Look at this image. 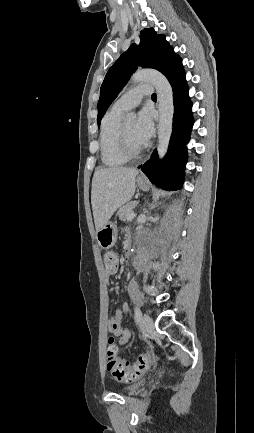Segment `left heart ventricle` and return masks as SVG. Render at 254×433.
I'll list each match as a JSON object with an SVG mask.
<instances>
[{
  "instance_id": "1",
  "label": "left heart ventricle",
  "mask_w": 254,
  "mask_h": 433,
  "mask_svg": "<svg viewBox=\"0 0 254 433\" xmlns=\"http://www.w3.org/2000/svg\"><path fill=\"white\" fill-rule=\"evenodd\" d=\"M123 129L125 131L126 137L130 143V145L135 148V149H139L141 147H143V144L139 142V140L137 139L136 135H135V123L134 121H130V122H126L123 124Z\"/></svg>"
}]
</instances>
